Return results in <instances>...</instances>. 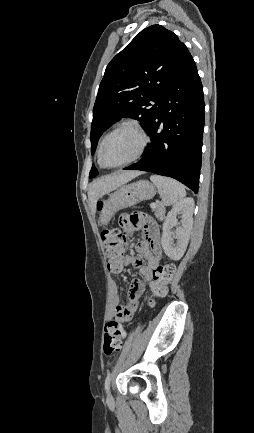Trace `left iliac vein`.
<instances>
[{
  "mask_svg": "<svg viewBox=\"0 0 254 433\" xmlns=\"http://www.w3.org/2000/svg\"><path fill=\"white\" fill-rule=\"evenodd\" d=\"M108 400L111 401L112 400V396L110 394H108Z\"/></svg>",
  "mask_w": 254,
  "mask_h": 433,
  "instance_id": "obj_1",
  "label": "left iliac vein"
}]
</instances>
